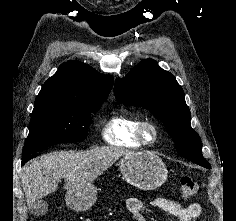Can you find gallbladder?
I'll return each mask as SVG.
<instances>
[{
  "instance_id": "1",
  "label": "gallbladder",
  "mask_w": 236,
  "mask_h": 221,
  "mask_svg": "<svg viewBox=\"0 0 236 221\" xmlns=\"http://www.w3.org/2000/svg\"><path fill=\"white\" fill-rule=\"evenodd\" d=\"M31 210L34 213V215H36V216H43L48 211V204L43 199H37L33 203L32 207H31Z\"/></svg>"
}]
</instances>
